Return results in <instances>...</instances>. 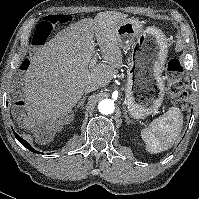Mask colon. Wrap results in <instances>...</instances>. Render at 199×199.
Listing matches in <instances>:
<instances>
[{
  "label": "colon",
  "mask_w": 199,
  "mask_h": 199,
  "mask_svg": "<svg viewBox=\"0 0 199 199\" xmlns=\"http://www.w3.org/2000/svg\"><path fill=\"white\" fill-rule=\"evenodd\" d=\"M68 20L66 15H48L46 16L36 28L34 34L35 44L45 43L47 37L53 31L55 25L60 22ZM183 73V66L179 59L172 58L167 62L166 75H167V91L171 96L174 103L179 106L186 105V96L183 90L180 77Z\"/></svg>",
  "instance_id": "5ec220e1"
}]
</instances>
